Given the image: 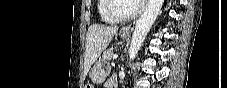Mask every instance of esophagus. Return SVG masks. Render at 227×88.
Wrapping results in <instances>:
<instances>
[{
    "label": "esophagus",
    "mask_w": 227,
    "mask_h": 88,
    "mask_svg": "<svg viewBox=\"0 0 227 88\" xmlns=\"http://www.w3.org/2000/svg\"><path fill=\"white\" fill-rule=\"evenodd\" d=\"M124 30H129L128 28H124Z\"/></svg>",
    "instance_id": "34e87169"
}]
</instances>
